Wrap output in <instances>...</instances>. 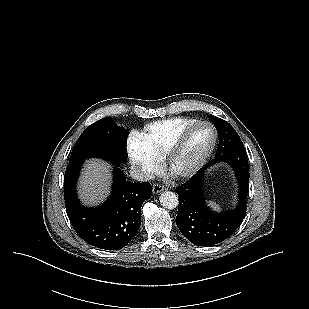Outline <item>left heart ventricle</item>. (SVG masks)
Returning a JSON list of instances; mask_svg holds the SVG:
<instances>
[{
    "label": "left heart ventricle",
    "mask_w": 309,
    "mask_h": 309,
    "mask_svg": "<svg viewBox=\"0 0 309 309\" xmlns=\"http://www.w3.org/2000/svg\"><path fill=\"white\" fill-rule=\"evenodd\" d=\"M212 132L207 126L197 127L184 149L175 162L176 168H183L197 160L210 146Z\"/></svg>",
    "instance_id": "1"
}]
</instances>
